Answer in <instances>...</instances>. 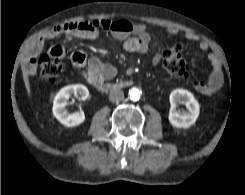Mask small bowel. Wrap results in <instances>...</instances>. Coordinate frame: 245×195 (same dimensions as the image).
<instances>
[{
    "mask_svg": "<svg viewBox=\"0 0 245 195\" xmlns=\"http://www.w3.org/2000/svg\"><path fill=\"white\" fill-rule=\"evenodd\" d=\"M111 33L115 38L122 41L123 48L129 52L145 54L149 50V44L155 40L143 24H132L126 20L113 21L109 19L95 21H79L61 24L45 35L35 40L30 46L25 58L24 68L27 74L33 75L36 72V57L42 51L45 44L62 35H69L84 39H97L100 31ZM168 33L175 35L178 29L169 28ZM185 38L189 41L198 42L203 51L209 49V43L201 40L191 31L185 32ZM51 56L64 57L65 49L62 45L56 44L49 50ZM72 63L80 70L85 80L92 85H99L105 80L112 79L116 73V67L96 56L87 58L81 51L71 55ZM208 60L211 64V74L207 81H198L194 84L195 90L202 95L215 94L223 85L224 76L222 64L214 53H209ZM161 61V54L156 52L152 57V64L158 65Z\"/></svg>",
    "mask_w": 245,
    "mask_h": 195,
    "instance_id": "c3829d8e",
    "label": "small bowel"
}]
</instances>
